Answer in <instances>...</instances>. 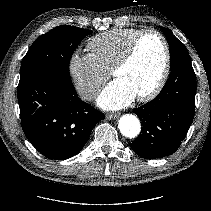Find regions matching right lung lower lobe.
Segmentation results:
<instances>
[{
	"label": "right lung lower lobe",
	"mask_w": 211,
	"mask_h": 211,
	"mask_svg": "<svg viewBox=\"0 0 211 211\" xmlns=\"http://www.w3.org/2000/svg\"><path fill=\"white\" fill-rule=\"evenodd\" d=\"M22 129L46 158L62 160L78 154L104 114L83 102L71 79L41 72L19 81Z\"/></svg>",
	"instance_id": "right-lung-lower-lobe-1"
}]
</instances>
